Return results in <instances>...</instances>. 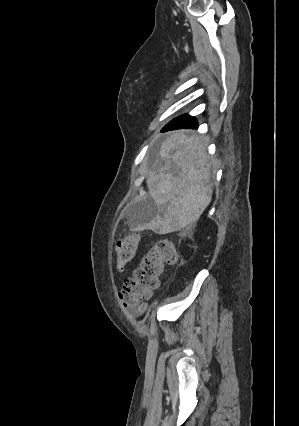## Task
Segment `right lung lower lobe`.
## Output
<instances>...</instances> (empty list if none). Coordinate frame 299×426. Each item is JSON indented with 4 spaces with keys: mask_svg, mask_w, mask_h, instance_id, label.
<instances>
[{
    "mask_svg": "<svg viewBox=\"0 0 299 426\" xmlns=\"http://www.w3.org/2000/svg\"><path fill=\"white\" fill-rule=\"evenodd\" d=\"M181 128H197V122L193 117L189 115H183L173 119L170 123H168L163 128L162 132Z\"/></svg>",
    "mask_w": 299,
    "mask_h": 426,
    "instance_id": "right-lung-lower-lobe-1",
    "label": "right lung lower lobe"
}]
</instances>
